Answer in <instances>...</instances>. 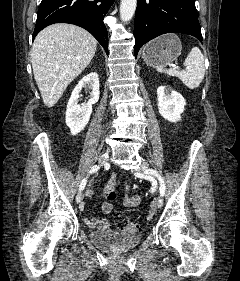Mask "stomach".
<instances>
[{
    "mask_svg": "<svg viewBox=\"0 0 240 281\" xmlns=\"http://www.w3.org/2000/svg\"><path fill=\"white\" fill-rule=\"evenodd\" d=\"M181 41L175 34H167L146 44L142 50V58L147 65L166 66L177 59L181 53Z\"/></svg>",
    "mask_w": 240,
    "mask_h": 281,
    "instance_id": "obj_1",
    "label": "stomach"
}]
</instances>
